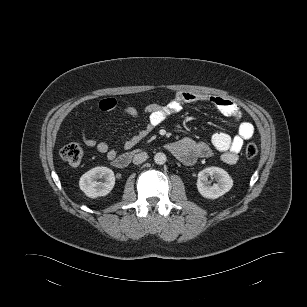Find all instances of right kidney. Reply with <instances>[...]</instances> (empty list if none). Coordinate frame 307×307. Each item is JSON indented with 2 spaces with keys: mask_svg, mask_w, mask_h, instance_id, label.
Returning <instances> with one entry per match:
<instances>
[{
  "mask_svg": "<svg viewBox=\"0 0 307 307\" xmlns=\"http://www.w3.org/2000/svg\"><path fill=\"white\" fill-rule=\"evenodd\" d=\"M103 179V182H98ZM115 185L114 172L103 166L92 168L83 174L79 181L80 189L90 198L106 196Z\"/></svg>",
  "mask_w": 307,
  "mask_h": 307,
  "instance_id": "1",
  "label": "right kidney"
}]
</instances>
